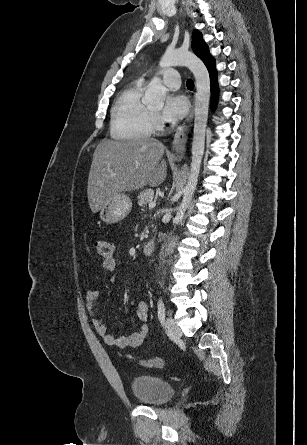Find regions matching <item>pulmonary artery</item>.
<instances>
[{"instance_id": "obj_1", "label": "pulmonary artery", "mask_w": 307, "mask_h": 445, "mask_svg": "<svg viewBox=\"0 0 307 445\" xmlns=\"http://www.w3.org/2000/svg\"><path fill=\"white\" fill-rule=\"evenodd\" d=\"M164 83L171 89H177L180 86L182 71L180 69H168L162 73Z\"/></svg>"}]
</instances>
